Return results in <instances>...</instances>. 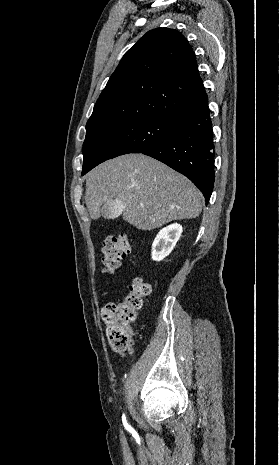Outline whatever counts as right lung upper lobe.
I'll return each instance as SVG.
<instances>
[{
    "label": "right lung upper lobe",
    "mask_w": 279,
    "mask_h": 465,
    "mask_svg": "<svg viewBox=\"0 0 279 465\" xmlns=\"http://www.w3.org/2000/svg\"><path fill=\"white\" fill-rule=\"evenodd\" d=\"M208 101L195 53L174 29L147 32L123 56L86 129L132 118L175 121Z\"/></svg>",
    "instance_id": "right-lung-upper-lobe-1"
}]
</instances>
